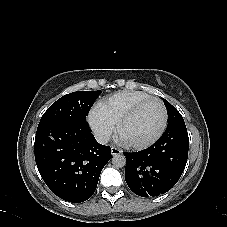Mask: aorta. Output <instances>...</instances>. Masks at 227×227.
I'll return each mask as SVG.
<instances>
[{
  "label": "aorta",
  "mask_w": 227,
  "mask_h": 227,
  "mask_svg": "<svg viewBox=\"0 0 227 227\" xmlns=\"http://www.w3.org/2000/svg\"><path fill=\"white\" fill-rule=\"evenodd\" d=\"M112 164L115 168H122L126 165V157L123 154H115L112 157Z\"/></svg>",
  "instance_id": "obj_1"
}]
</instances>
